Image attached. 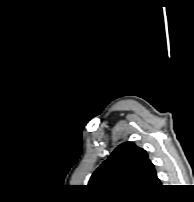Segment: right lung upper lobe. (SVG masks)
Instances as JSON below:
<instances>
[{"label":"right lung upper lobe","instance_id":"cb5924a9","mask_svg":"<svg viewBox=\"0 0 194 202\" xmlns=\"http://www.w3.org/2000/svg\"><path fill=\"white\" fill-rule=\"evenodd\" d=\"M89 186L107 195H144L161 186L146 151L133 142L119 145L92 174Z\"/></svg>","mask_w":194,"mask_h":202}]
</instances>
